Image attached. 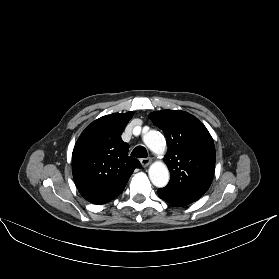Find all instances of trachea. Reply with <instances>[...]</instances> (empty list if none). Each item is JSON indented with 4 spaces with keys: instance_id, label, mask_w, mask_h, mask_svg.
Instances as JSON below:
<instances>
[{
    "instance_id": "trachea-1",
    "label": "trachea",
    "mask_w": 279,
    "mask_h": 279,
    "mask_svg": "<svg viewBox=\"0 0 279 279\" xmlns=\"http://www.w3.org/2000/svg\"><path fill=\"white\" fill-rule=\"evenodd\" d=\"M131 155L137 158H146L148 156L147 150L143 146H137L134 148Z\"/></svg>"
}]
</instances>
